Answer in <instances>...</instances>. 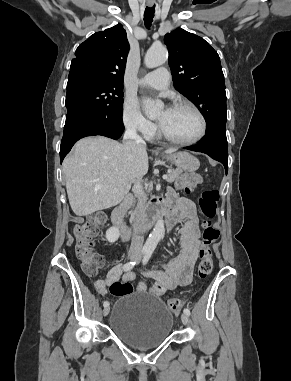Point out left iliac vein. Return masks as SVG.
I'll list each match as a JSON object with an SVG mask.
<instances>
[{
  "mask_svg": "<svg viewBox=\"0 0 291 381\" xmlns=\"http://www.w3.org/2000/svg\"><path fill=\"white\" fill-rule=\"evenodd\" d=\"M181 321H182V323L183 324H188V322H189V317H188V315L187 314H185V313H183L182 315H181Z\"/></svg>",
  "mask_w": 291,
  "mask_h": 381,
  "instance_id": "obj_1",
  "label": "left iliac vein"
}]
</instances>
